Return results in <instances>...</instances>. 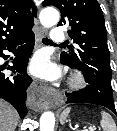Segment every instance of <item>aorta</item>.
<instances>
[{
    "label": "aorta",
    "instance_id": "762f6f07",
    "mask_svg": "<svg viewBox=\"0 0 117 131\" xmlns=\"http://www.w3.org/2000/svg\"><path fill=\"white\" fill-rule=\"evenodd\" d=\"M40 22L45 28L56 25L60 19L59 12L54 8H45L40 12ZM55 126V116L51 111H46L40 118V131H53Z\"/></svg>",
    "mask_w": 117,
    "mask_h": 131
}]
</instances>
